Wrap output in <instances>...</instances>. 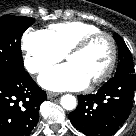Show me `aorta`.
<instances>
[{
    "instance_id": "obj_1",
    "label": "aorta",
    "mask_w": 136,
    "mask_h": 136,
    "mask_svg": "<svg viewBox=\"0 0 136 136\" xmlns=\"http://www.w3.org/2000/svg\"><path fill=\"white\" fill-rule=\"evenodd\" d=\"M61 106L66 110H73L76 107V98L73 95L66 94L61 97Z\"/></svg>"
}]
</instances>
